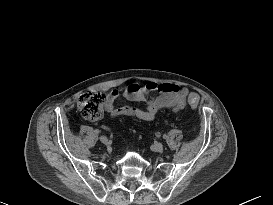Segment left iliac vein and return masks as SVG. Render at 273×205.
Here are the masks:
<instances>
[{
	"label": "left iliac vein",
	"instance_id": "obj_1",
	"mask_svg": "<svg viewBox=\"0 0 273 205\" xmlns=\"http://www.w3.org/2000/svg\"><path fill=\"white\" fill-rule=\"evenodd\" d=\"M163 144L162 143H159V142H157V143H154L153 145H152V149L154 150V151H156V152H161L162 150H163Z\"/></svg>",
	"mask_w": 273,
	"mask_h": 205
}]
</instances>
